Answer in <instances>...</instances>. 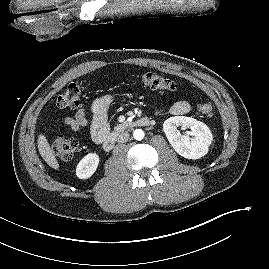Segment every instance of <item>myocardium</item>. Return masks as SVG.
Here are the masks:
<instances>
[{
    "label": "myocardium",
    "mask_w": 269,
    "mask_h": 269,
    "mask_svg": "<svg viewBox=\"0 0 269 269\" xmlns=\"http://www.w3.org/2000/svg\"><path fill=\"white\" fill-rule=\"evenodd\" d=\"M57 1H59V0H36V4L37 5H41V6H44V5H50V4H52V3H54V2H57Z\"/></svg>",
    "instance_id": "1"
}]
</instances>
